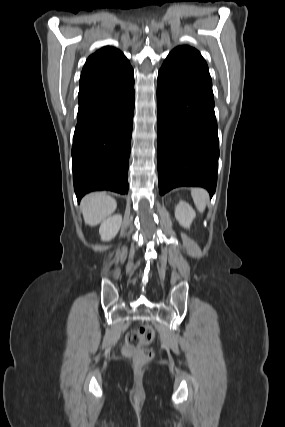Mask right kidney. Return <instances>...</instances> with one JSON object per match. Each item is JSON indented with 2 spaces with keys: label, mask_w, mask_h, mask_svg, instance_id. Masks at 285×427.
<instances>
[{
  "label": "right kidney",
  "mask_w": 285,
  "mask_h": 427,
  "mask_svg": "<svg viewBox=\"0 0 285 427\" xmlns=\"http://www.w3.org/2000/svg\"><path fill=\"white\" fill-rule=\"evenodd\" d=\"M122 224V216L115 214L105 219L100 226L99 234L103 241H109L114 238Z\"/></svg>",
  "instance_id": "obj_1"
}]
</instances>
